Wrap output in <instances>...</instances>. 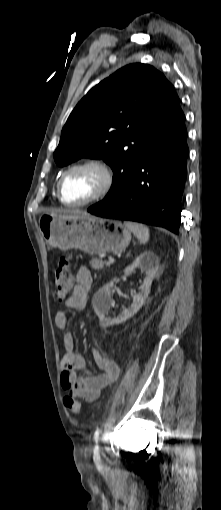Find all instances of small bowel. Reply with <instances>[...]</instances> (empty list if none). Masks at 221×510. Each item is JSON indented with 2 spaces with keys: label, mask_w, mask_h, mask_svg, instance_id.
<instances>
[{
  "label": "small bowel",
  "mask_w": 221,
  "mask_h": 510,
  "mask_svg": "<svg viewBox=\"0 0 221 510\" xmlns=\"http://www.w3.org/2000/svg\"><path fill=\"white\" fill-rule=\"evenodd\" d=\"M76 286L74 293L65 301L68 309L81 310L86 303V296L92 286L90 270L81 266L75 275ZM69 323V317L64 311H59L55 316V324L59 328H65ZM65 354L61 363V384L72 397L82 398L87 402L96 400L101 391L112 384L119 376V367L108 356L102 355L98 349L92 348L91 353L97 365L98 371L87 368L84 358L75 351V337L71 332L63 336ZM83 374L78 376L77 372Z\"/></svg>",
  "instance_id": "1"
}]
</instances>
